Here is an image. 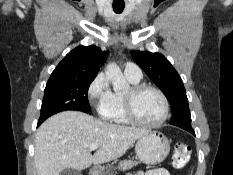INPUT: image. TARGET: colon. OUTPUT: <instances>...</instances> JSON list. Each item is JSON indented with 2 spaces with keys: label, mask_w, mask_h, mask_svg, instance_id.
<instances>
[{
  "label": "colon",
  "mask_w": 233,
  "mask_h": 175,
  "mask_svg": "<svg viewBox=\"0 0 233 175\" xmlns=\"http://www.w3.org/2000/svg\"><path fill=\"white\" fill-rule=\"evenodd\" d=\"M191 147L183 142L176 143L173 149L172 165L175 169H182L189 161Z\"/></svg>",
  "instance_id": "1"
}]
</instances>
